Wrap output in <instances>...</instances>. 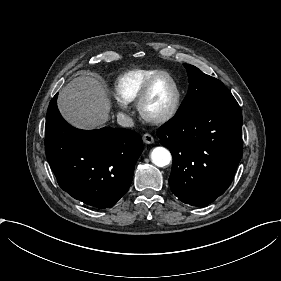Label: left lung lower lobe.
I'll return each mask as SVG.
<instances>
[{
    "mask_svg": "<svg viewBox=\"0 0 281 281\" xmlns=\"http://www.w3.org/2000/svg\"><path fill=\"white\" fill-rule=\"evenodd\" d=\"M157 134L172 153L169 184L182 202L205 206L229 187L243 151L236 100L179 113Z\"/></svg>",
    "mask_w": 281,
    "mask_h": 281,
    "instance_id": "1",
    "label": "left lung lower lobe"
}]
</instances>
